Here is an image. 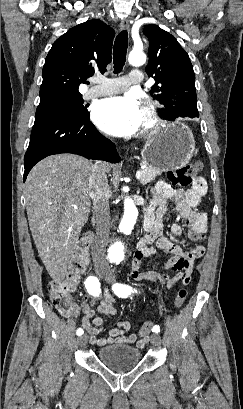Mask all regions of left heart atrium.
<instances>
[{"label":"left heart atrium","mask_w":243,"mask_h":409,"mask_svg":"<svg viewBox=\"0 0 243 409\" xmlns=\"http://www.w3.org/2000/svg\"><path fill=\"white\" fill-rule=\"evenodd\" d=\"M93 120L108 134L129 136L143 126L144 110L134 94H126L101 100L93 110Z\"/></svg>","instance_id":"1"}]
</instances>
